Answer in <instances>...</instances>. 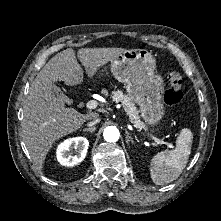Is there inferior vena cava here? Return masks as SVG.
<instances>
[{
    "mask_svg": "<svg viewBox=\"0 0 221 221\" xmlns=\"http://www.w3.org/2000/svg\"><path fill=\"white\" fill-rule=\"evenodd\" d=\"M100 121H101V119L99 118V116H96L90 122H88L87 125L89 127H92V126L96 125L97 123H99Z\"/></svg>",
    "mask_w": 221,
    "mask_h": 221,
    "instance_id": "602c4592",
    "label": "inferior vena cava"
}]
</instances>
